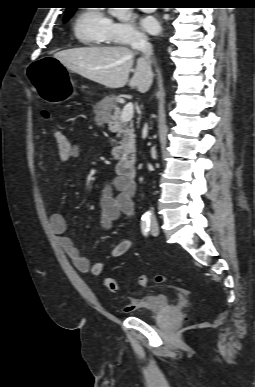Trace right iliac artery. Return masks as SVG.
Segmentation results:
<instances>
[{
	"instance_id": "82829eb1",
	"label": "right iliac artery",
	"mask_w": 255,
	"mask_h": 387,
	"mask_svg": "<svg viewBox=\"0 0 255 387\" xmlns=\"http://www.w3.org/2000/svg\"><path fill=\"white\" fill-rule=\"evenodd\" d=\"M151 222L147 217H143L141 221V230L144 236H148Z\"/></svg>"
}]
</instances>
